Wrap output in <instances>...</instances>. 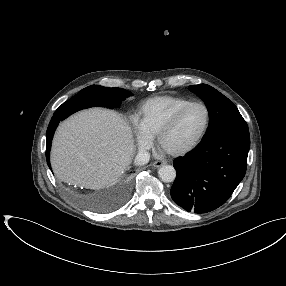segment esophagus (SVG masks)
<instances>
[{
	"instance_id": "34e87169",
	"label": "esophagus",
	"mask_w": 286,
	"mask_h": 286,
	"mask_svg": "<svg viewBox=\"0 0 286 286\" xmlns=\"http://www.w3.org/2000/svg\"><path fill=\"white\" fill-rule=\"evenodd\" d=\"M165 164H166L165 161H155V162H153L152 166L155 167V168H159V167H161V166H163Z\"/></svg>"
}]
</instances>
